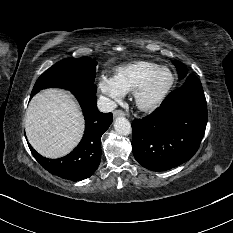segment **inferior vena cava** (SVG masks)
Masks as SVG:
<instances>
[{
  "label": "inferior vena cava",
  "mask_w": 233,
  "mask_h": 233,
  "mask_svg": "<svg viewBox=\"0 0 233 233\" xmlns=\"http://www.w3.org/2000/svg\"><path fill=\"white\" fill-rule=\"evenodd\" d=\"M97 107L99 111L107 113L112 112L117 107V104L115 103V101L105 96H100L97 100Z\"/></svg>",
  "instance_id": "obj_1"
}]
</instances>
